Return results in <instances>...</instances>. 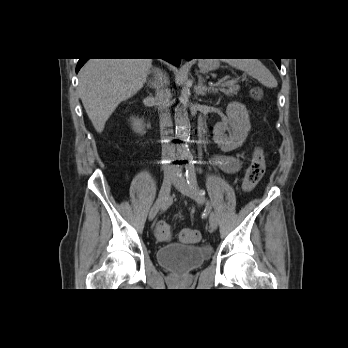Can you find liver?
I'll list each match as a JSON object with an SVG mask.
<instances>
[{"label": "liver", "mask_w": 348, "mask_h": 348, "mask_svg": "<svg viewBox=\"0 0 348 348\" xmlns=\"http://www.w3.org/2000/svg\"><path fill=\"white\" fill-rule=\"evenodd\" d=\"M152 59H89L79 72V96L101 133L117 106L144 85Z\"/></svg>", "instance_id": "1"}]
</instances>
